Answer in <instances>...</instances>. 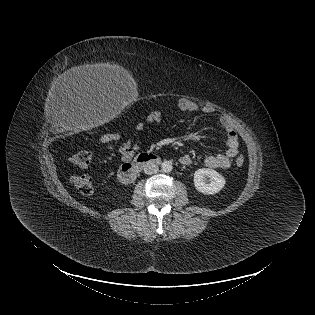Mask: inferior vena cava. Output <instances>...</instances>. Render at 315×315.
<instances>
[{"label": "inferior vena cava", "instance_id": "obj_1", "mask_svg": "<svg viewBox=\"0 0 315 315\" xmlns=\"http://www.w3.org/2000/svg\"><path fill=\"white\" fill-rule=\"evenodd\" d=\"M158 171H159V168L157 164L154 162H147L144 165L145 174L152 175V174H156Z\"/></svg>", "mask_w": 315, "mask_h": 315}]
</instances>
